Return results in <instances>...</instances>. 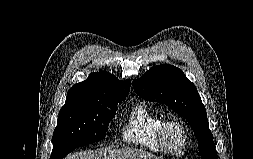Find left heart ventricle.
<instances>
[{
    "label": "left heart ventricle",
    "mask_w": 253,
    "mask_h": 159,
    "mask_svg": "<svg viewBox=\"0 0 253 159\" xmlns=\"http://www.w3.org/2000/svg\"><path fill=\"white\" fill-rule=\"evenodd\" d=\"M167 142L171 149L176 151L180 150L183 145V138L180 130L172 127L168 132Z\"/></svg>",
    "instance_id": "left-heart-ventricle-1"
}]
</instances>
